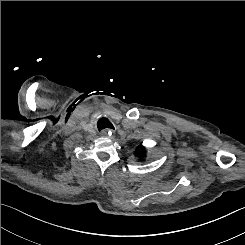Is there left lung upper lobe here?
Segmentation results:
<instances>
[{
  "mask_svg": "<svg viewBox=\"0 0 245 245\" xmlns=\"http://www.w3.org/2000/svg\"><path fill=\"white\" fill-rule=\"evenodd\" d=\"M145 148L143 146H139L137 147L136 151H135V155L142 158L145 156V152H144Z\"/></svg>",
  "mask_w": 245,
  "mask_h": 245,
  "instance_id": "left-lung-upper-lobe-1",
  "label": "left lung upper lobe"
}]
</instances>
